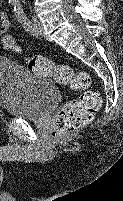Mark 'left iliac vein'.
Wrapping results in <instances>:
<instances>
[{"label": "left iliac vein", "mask_w": 123, "mask_h": 201, "mask_svg": "<svg viewBox=\"0 0 123 201\" xmlns=\"http://www.w3.org/2000/svg\"><path fill=\"white\" fill-rule=\"evenodd\" d=\"M32 26L34 28L33 35H41L42 34V26L37 18H32Z\"/></svg>", "instance_id": "1"}]
</instances>
